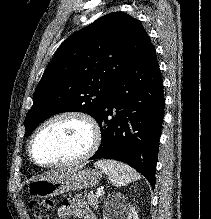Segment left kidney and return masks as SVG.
Instances as JSON below:
<instances>
[{"label": "left kidney", "instance_id": "obj_1", "mask_svg": "<svg viewBox=\"0 0 211 219\" xmlns=\"http://www.w3.org/2000/svg\"><path fill=\"white\" fill-rule=\"evenodd\" d=\"M116 199L122 200L119 202L122 208L114 210L113 212H105L103 219H139L135 208L130 205L127 206L124 196L117 195Z\"/></svg>", "mask_w": 211, "mask_h": 219}]
</instances>
